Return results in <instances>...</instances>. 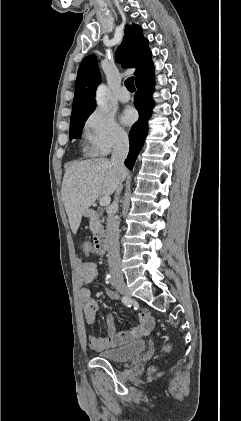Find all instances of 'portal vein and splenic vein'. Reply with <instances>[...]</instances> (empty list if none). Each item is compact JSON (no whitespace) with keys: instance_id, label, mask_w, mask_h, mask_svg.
<instances>
[{"instance_id":"18ae733b","label":"portal vein and splenic vein","mask_w":241,"mask_h":421,"mask_svg":"<svg viewBox=\"0 0 241 421\" xmlns=\"http://www.w3.org/2000/svg\"><path fill=\"white\" fill-rule=\"evenodd\" d=\"M111 198L110 196H103L100 198L99 204L100 206H107L110 204Z\"/></svg>"}]
</instances>
